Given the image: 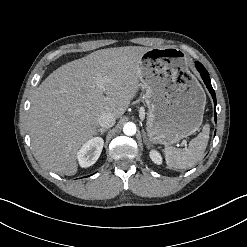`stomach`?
Instances as JSON below:
<instances>
[{
	"mask_svg": "<svg viewBox=\"0 0 247 247\" xmlns=\"http://www.w3.org/2000/svg\"><path fill=\"white\" fill-rule=\"evenodd\" d=\"M140 81L148 107L146 130L156 144L171 145L199 130L205 92L190 73L182 51L151 48L140 60Z\"/></svg>",
	"mask_w": 247,
	"mask_h": 247,
	"instance_id": "0dacf381",
	"label": "stomach"
}]
</instances>
